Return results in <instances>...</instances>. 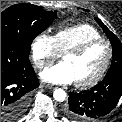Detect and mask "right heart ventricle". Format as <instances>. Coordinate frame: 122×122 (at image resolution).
<instances>
[{
    "instance_id": "e07e8e85",
    "label": "right heart ventricle",
    "mask_w": 122,
    "mask_h": 122,
    "mask_svg": "<svg viewBox=\"0 0 122 122\" xmlns=\"http://www.w3.org/2000/svg\"><path fill=\"white\" fill-rule=\"evenodd\" d=\"M96 38H101L100 32L94 26L87 23L61 28L54 35L56 46L60 53H65L67 50L87 40Z\"/></svg>"
}]
</instances>
